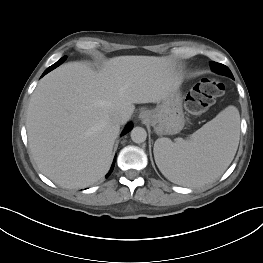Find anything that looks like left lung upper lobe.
<instances>
[{
  "label": "left lung upper lobe",
  "instance_id": "obj_1",
  "mask_svg": "<svg viewBox=\"0 0 263 263\" xmlns=\"http://www.w3.org/2000/svg\"><path fill=\"white\" fill-rule=\"evenodd\" d=\"M210 66L218 74H222L230 78H233V75L227 66L216 62H211Z\"/></svg>",
  "mask_w": 263,
  "mask_h": 263
}]
</instances>
